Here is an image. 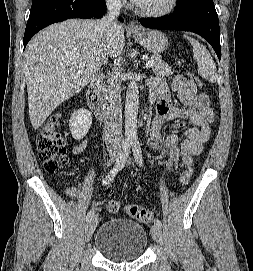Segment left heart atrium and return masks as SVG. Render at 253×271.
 Listing matches in <instances>:
<instances>
[{"label": "left heart atrium", "instance_id": "obj_1", "mask_svg": "<svg viewBox=\"0 0 253 271\" xmlns=\"http://www.w3.org/2000/svg\"><path fill=\"white\" fill-rule=\"evenodd\" d=\"M132 1H133L134 3H136V4L139 2V0H132Z\"/></svg>", "mask_w": 253, "mask_h": 271}]
</instances>
